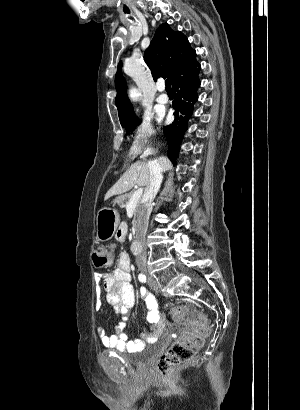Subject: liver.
Returning <instances> with one entry per match:
<instances>
[{"label": "liver", "instance_id": "liver-1", "mask_svg": "<svg viewBox=\"0 0 300 410\" xmlns=\"http://www.w3.org/2000/svg\"><path fill=\"white\" fill-rule=\"evenodd\" d=\"M158 162L160 163L164 171L172 169V164L168 158L161 157L160 159H158ZM149 177L150 172L147 162H139L132 164L130 168L106 193L105 200H107L111 196L125 193L131 190L135 185H138L140 187H147L149 184Z\"/></svg>", "mask_w": 300, "mask_h": 410}]
</instances>
